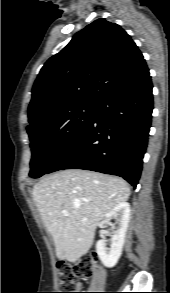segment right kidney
Segmentation results:
<instances>
[{
  "mask_svg": "<svg viewBox=\"0 0 170 293\" xmlns=\"http://www.w3.org/2000/svg\"><path fill=\"white\" fill-rule=\"evenodd\" d=\"M130 217V205L127 202H122L109 211L104 222L109 224L111 219H115L117 228L114 230L111 237L110 248L106 246V240L101 239L96 243V251L104 266L114 267L122 254V249L125 242V236L128 228Z\"/></svg>",
  "mask_w": 170,
  "mask_h": 293,
  "instance_id": "obj_1",
  "label": "right kidney"
}]
</instances>
